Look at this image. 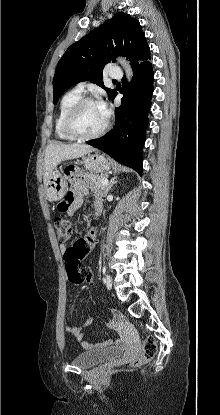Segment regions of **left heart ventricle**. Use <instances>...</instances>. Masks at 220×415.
Returning a JSON list of instances; mask_svg holds the SVG:
<instances>
[{
  "label": "left heart ventricle",
  "instance_id": "left-heart-ventricle-1",
  "mask_svg": "<svg viewBox=\"0 0 220 415\" xmlns=\"http://www.w3.org/2000/svg\"><path fill=\"white\" fill-rule=\"evenodd\" d=\"M106 122L99 104L85 106L76 119V129L85 135L98 132Z\"/></svg>",
  "mask_w": 220,
  "mask_h": 415
}]
</instances>
